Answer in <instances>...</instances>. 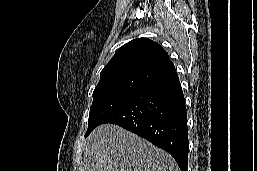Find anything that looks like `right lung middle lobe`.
<instances>
[{"label": "right lung middle lobe", "mask_w": 257, "mask_h": 171, "mask_svg": "<svg viewBox=\"0 0 257 171\" xmlns=\"http://www.w3.org/2000/svg\"><path fill=\"white\" fill-rule=\"evenodd\" d=\"M146 89L148 88L141 85H110L95 88L85 137H87L95 127L103 124L106 118L113 112Z\"/></svg>", "instance_id": "right-lung-middle-lobe-1"}]
</instances>
